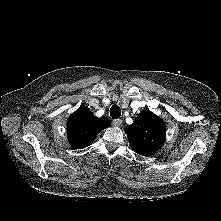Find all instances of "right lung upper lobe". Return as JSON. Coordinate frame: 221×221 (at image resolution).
Here are the masks:
<instances>
[{
  "instance_id": "cb5924a9",
  "label": "right lung upper lobe",
  "mask_w": 221,
  "mask_h": 221,
  "mask_svg": "<svg viewBox=\"0 0 221 221\" xmlns=\"http://www.w3.org/2000/svg\"><path fill=\"white\" fill-rule=\"evenodd\" d=\"M109 126L110 121L106 117H95L82 105L67 121L68 140L75 149L85 148L94 141L101 130Z\"/></svg>"
}]
</instances>
